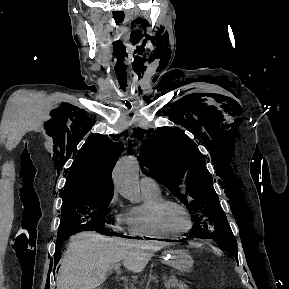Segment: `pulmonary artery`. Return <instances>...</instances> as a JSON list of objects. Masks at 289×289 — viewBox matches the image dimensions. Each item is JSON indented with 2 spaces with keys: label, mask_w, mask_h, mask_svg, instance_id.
I'll use <instances>...</instances> for the list:
<instances>
[{
  "label": "pulmonary artery",
  "mask_w": 289,
  "mask_h": 289,
  "mask_svg": "<svg viewBox=\"0 0 289 289\" xmlns=\"http://www.w3.org/2000/svg\"><path fill=\"white\" fill-rule=\"evenodd\" d=\"M140 187L142 191L159 192V184L151 176H142L140 179Z\"/></svg>",
  "instance_id": "e3ab8cb5"
}]
</instances>
